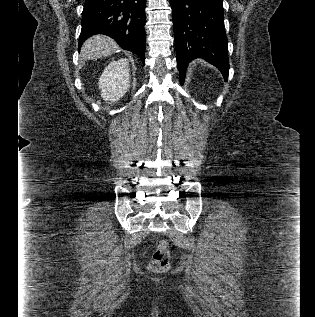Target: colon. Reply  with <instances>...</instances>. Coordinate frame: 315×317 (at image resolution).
<instances>
[{
	"instance_id": "colon-1",
	"label": "colon",
	"mask_w": 315,
	"mask_h": 317,
	"mask_svg": "<svg viewBox=\"0 0 315 317\" xmlns=\"http://www.w3.org/2000/svg\"><path fill=\"white\" fill-rule=\"evenodd\" d=\"M170 259L171 254L168 242L160 240L156 245L152 260L148 265V269L154 273L165 272L169 268Z\"/></svg>"
}]
</instances>
